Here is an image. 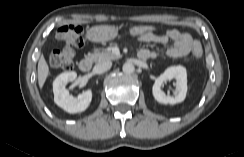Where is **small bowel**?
Returning a JSON list of instances; mask_svg holds the SVG:
<instances>
[{"label":"small bowel","mask_w":244,"mask_h":157,"mask_svg":"<svg viewBox=\"0 0 244 157\" xmlns=\"http://www.w3.org/2000/svg\"><path fill=\"white\" fill-rule=\"evenodd\" d=\"M141 42H154L167 44L173 41V44L167 49L166 53L170 57H182L190 53L192 49L193 40L190 34L181 32L176 29H170L163 33H154L138 37ZM141 59L157 58L159 53L155 50L141 49L138 53Z\"/></svg>","instance_id":"c3829d8e"}]
</instances>
